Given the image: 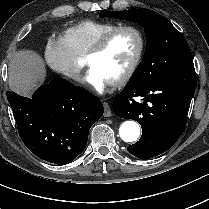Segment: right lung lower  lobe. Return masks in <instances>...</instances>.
<instances>
[{
    "mask_svg": "<svg viewBox=\"0 0 209 209\" xmlns=\"http://www.w3.org/2000/svg\"><path fill=\"white\" fill-rule=\"evenodd\" d=\"M7 98L23 143L37 157L59 165L82 153L89 129L104 112L96 96L59 77L31 99L10 91Z\"/></svg>",
    "mask_w": 209,
    "mask_h": 209,
    "instance_id": "obj_1",
    "label": "right lung lower lobe"
}]
</instances>
